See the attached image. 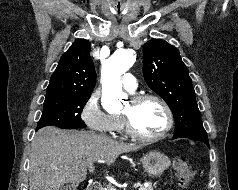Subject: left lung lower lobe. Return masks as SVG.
Wrapping results in <instances>:
<instances>
[{"label":"left lung lower lobe","instance_id":"obj_1","mask_svg":"<svg viewBox=\"0 0 238 190\" xmlns=\"http://www.w3.org/2000/svg\"><path fill=\"white\" fill-rule=\"evenodd\" d=\"M181 137H187L185 135H175L173 137V139H176V138H181ZM188 138V137H187ZM192 140H197V141H201L203 143H205L207 146H209V142H208V137L207 138H203V137H197V138H190Z\"/></svg>","mask_w":238,"mask_h":190}]
</instances>
